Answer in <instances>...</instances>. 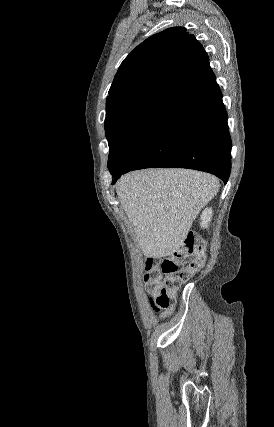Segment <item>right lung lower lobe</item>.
I'll list each match as a JSON object with an SVG mask.
<instances>
[{
	"instance_id": "obj_1",
	"label": "right lung lower lobe",
	"mask_w": 274,
	"mask_h": 427,
	"mask_svg": "<svg viewBox=\"0 0 274 427\" xmlns=\"http://www.w3.org/2000/svg\"><path fill=\"white\" fill-rule=\"evenodd\" d=\"M231 147L227 113L214 78L177 100L126 164L108 168L112 184L121 174L150 167L201 170L226 183L231 170Z\"/></svg>"
}]
</instances>
